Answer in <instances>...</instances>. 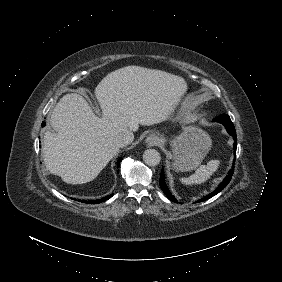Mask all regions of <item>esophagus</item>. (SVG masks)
Returning a JSON list of instances; mask_svg holds the SVG:
<instances>
[{"instance_id": "esophagus-1", "label": "esophagus", "mask_w": 282, "mask_h": 282, "mask_svg": "<svg viewBox=\"0 0 282 282\" xmlns=\"http://www.w3.org/2000/svg\"><path fill=\"white\" fill-rule=\"evenodd\" d=\"M145 142L148 146H155L159 143V138L158 136L151 134L146 138Z\"/></svg>"}]
</instances>
